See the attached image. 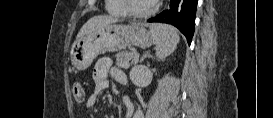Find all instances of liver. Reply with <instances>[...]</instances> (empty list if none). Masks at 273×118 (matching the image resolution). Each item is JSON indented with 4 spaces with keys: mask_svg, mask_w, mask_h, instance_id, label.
<instances>
[{
    "mask_svg": "<svg viewBox=\"0 0 273 118\" xmlns=\"http://www.w3.org/2000/svg\"><path fill=\"white\" fill-rule=\"evenodd\" d=\"M116 21L117 20L115 18L106 15L92 17L82 26L76 39L78 40L84 35L89 34L98 28L114 23Z\"/></svg>",
    "mask_w": 273,
    "mask_h": 118,
    "instance_id": "6515ba94",
    "label": "liver"
}]
</instances>
